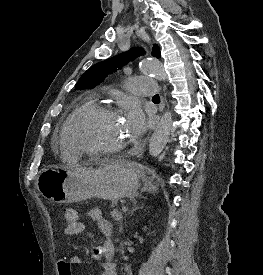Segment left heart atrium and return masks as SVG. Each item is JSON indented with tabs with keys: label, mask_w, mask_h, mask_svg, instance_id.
<instances>
[{
	"label": "left heart atrium",
	"mask_w": 263,
	"mask_h": 275,
	"mask_svg": "<svg viewBox=\"0 0 263 275\" xmlns=\"http://www.w3.org/2000/svg\"><path fill=\"white\" fill-rule=\"evenodd\" d=\"M125 124L133 137L141 135L145 129V119L137 107H131L125 117Z\"/></svg>",
	"instance_id": "left-heart-atrium-1"
}]
</instances>
